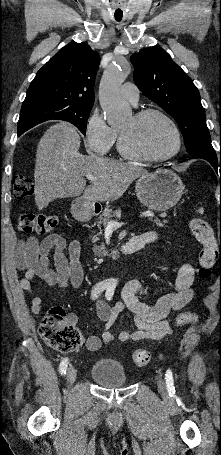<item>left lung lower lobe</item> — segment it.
<instances>
[{
	"label": "left lung lower lobe",
	"mask_w": 221,
	"mask_h": 455,
	"mask_svg": "<svg viewBox=\"0 0 221 455\" xmlns=\"http://www.w3.org/2000/svg\"><path fill=\"white\" fill-rule=\"evenodd\" d=\"M191 155H192V158H201V159L208 161L216 171H218L220 169V172H221V157H220V161H219L215 152L196 151L195 153H193Z\"/></svg>",
	"instance_id": "0a47b994"
}]
</instances>
